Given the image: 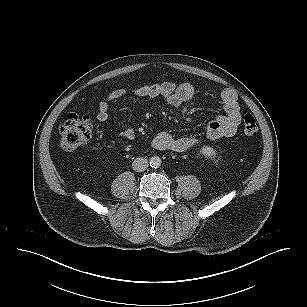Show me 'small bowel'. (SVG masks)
<instances>
[{
  "label": "small bowel",
  "instance_id": "small-bowel-1",
  "mask_svg": "<svg viewBox=\"0 0 307 307\" xmlns=\"http://www.w3.org/2000/svg\"><path fill=\"white\" fill-rule=\"evenodd\" d=\"M195 88L190 83H176L165 81L156 84H134L110 91L106 98L98 105L96 118L99 122H106L109 117L110 103L125 96L153 100L162 97L167 104L172 107H180L195 96ZM221 101L224 115L212 118L206 129V136L210 140H218L224 137L233 136L241 122V111L237 95L233 90L224 89L216 94ZM120 135L126 139L134 137L132 129L121 131ZM197 144V139L193 137H174L167 132L158 133L152 141V145L158 150H170L175 152H185Z\"/></svg>",
  "mask_w": 307,
  "mask_h": 307
}]
</instances>
